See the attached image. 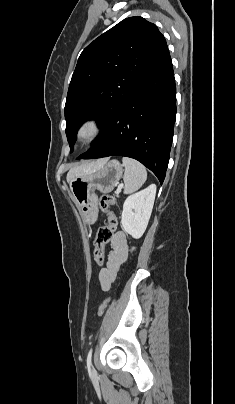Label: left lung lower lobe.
Masks as SVG:
<instances>
[{"instance_id":"1","label":"left lung lower lobe","mask_w":235,"mask_h":404,"mask_svg":"<svg viewBox=\"0 0 235 404\" xmlns=\"http://www.w3.org/2000/svg\"><path fill=\"white\" fill-rule=\"evenodd\" d=\"M176 115V87L167 50L137 82L100 136L77 159L126 156L140 161L162 184Z\"/></svg>"}]
</instances>
